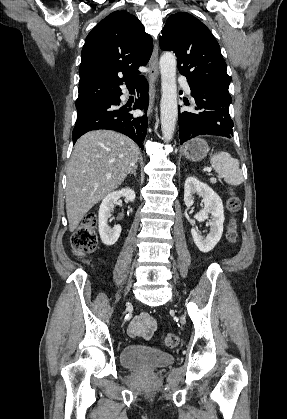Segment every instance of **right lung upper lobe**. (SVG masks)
I'll list each match as a JSON object with an SVG mask.
<instances>
[{"label":"right lung upper lobe","mask_w":287,"mask_h":419,"mask_svg":"<svg viewBox=\"0 0 287 419\" xmlns=\"http://www.w3.org/2000/svg\"><path fill=\"white\" fill-rule=\"evenodd\" d=\"M152 50L151 36L127 11L112 12L101 20L87 36L81 52L76 106L117 96L123 81L127 87L138 83L143 77L138 68L146 65Z\"/></svg>","instance_id":"1"}]
</instances>
